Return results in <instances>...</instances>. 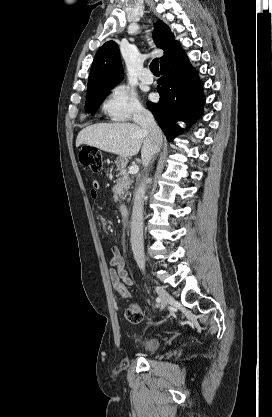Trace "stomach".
<instances>
[{"label":"stomach","instance_id":"0dacf381","mask_svg":"<svg viewBox=\"0 0 272 417\" xmlns=\"http://www.w3.org/2000/svg\"><path fill=\"white\" fill-rule=\"evenodd\" d=\"M115 162H116V165H117L118 169H123L127 164V158L119 156V157H117Z\"/></svg>","mask_w":272,"mask_h":417}]
</instances>
